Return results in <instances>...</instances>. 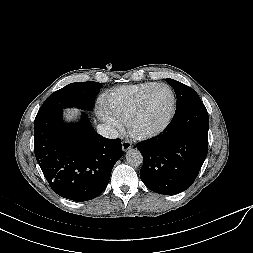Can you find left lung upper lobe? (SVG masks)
Masks as SVG:
<instances>
[{"instance_id":"1","label":"left lung upper lobe","mask_w":253,"mask_h":253,"mask_svg":"<svg viewBox=\"0 0 253 253\" xmlns=\"http://www.w3.org/2000/svg\"><path fill=\"white\" fill-rule=\"evenodd\" d=\"M166 81L174 88L176 93L177 111L192 104L201 103L198 94L189 86L173 79H166Z\"/></svg>"}]
</instances>
